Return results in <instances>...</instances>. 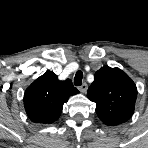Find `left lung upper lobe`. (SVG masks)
<instances>
[{"mask_svg":"<svg viewBox=\"0 0 148 148\" xmlns=\"http://www.w3.org/2000/svg\"><path fill=\"white\" fill-rule=\"evenodd\" d=\"M87 97L96 103V113L101 121L116 126L133 115L137 88L124 71L104 65L95 73Z\"/></svg>","mask_w":148,"mask_h":148,"instance_id":"1","label":"left lung upper lobe"}]
</instances>
